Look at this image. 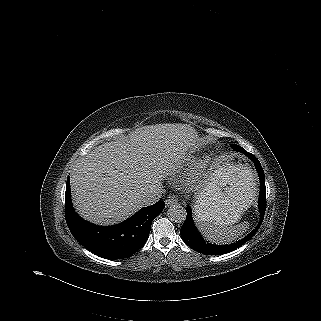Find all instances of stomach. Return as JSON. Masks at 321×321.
<instances>
[{
	"label": "stomach",
	"mask_w": 321,
	"mask_h": 321,
	"mask_svg": "<svg viewBox=\"0 0 321 321\" xmlns=\"http://www.w3.org/2000/svg\"><path fill=\"white\" fill-rule=\"evenodd\" d=\"M256 195L252 169L236 156L219 159L208 183L195 199V217L205 211H217L228 224L236 223L250 207Z\"/></svg>",
	"instance_id": "0dacf381"
}]
</instances>
